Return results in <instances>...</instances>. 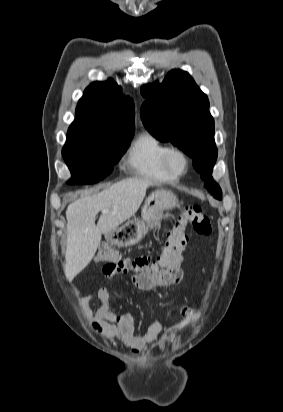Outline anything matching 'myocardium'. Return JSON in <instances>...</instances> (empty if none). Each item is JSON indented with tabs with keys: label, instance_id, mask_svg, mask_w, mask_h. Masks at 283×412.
<instances>
[{
	"label": "myocardium",
	"instance_id": "1",
	"mask_svg": "<svg viewBox=\"0 0 283 412\" xmlns=\"http://www.w3.org/2000/svg\"><path fill=\"white\" fill-rule=\"evenodd\" d=\"M174 156H180L184 161V167L182 170H177L172 166V158ZM163 165L166 171L174 177L184 176L190 169L191 159L189 154L178 146H170L163 158Z\"/></svg>",
	"mask_w": 283,
	"mask_h": 412
}]
</instances>
